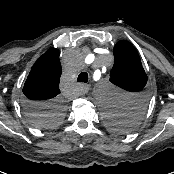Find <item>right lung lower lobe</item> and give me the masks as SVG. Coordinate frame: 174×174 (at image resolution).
Segmentation results:
<instances>
[{"label": "right lung lower lobe", "instance_id": "1", "mask_svg": "<svg viewBox=\"0 0 174 174\" xmlns=\"http://www.w3.org/2000/svg\"><path fill=\"white\" fill-rule=\"evenodd\" d=\"M25 105L41 106V105H35V104H31V103H29V102H26V104H25Z\"/></svg>", "mask_w": 174, "mask_h": 174}]
</instances>
